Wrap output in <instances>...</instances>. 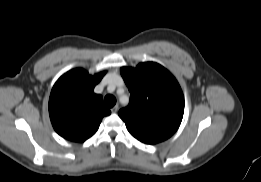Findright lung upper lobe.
<instances>
[{"label": "right lung upper lobe", "mask_w": 261, "mask_h": 182, "mask_svg": "<svg viewBox=\"0 0 261 182\" xmlns=\"http://www.w3.org/2000/svg\"><path fill=\"white\" fill-rule=\"evenodd\" d=\"M104 72L89 75L77 68L62 75L52 88L49 98V115L55 131L63 138L84 142L98 129L102 118L110 115L101 95L94 87Z\"/></svg>", "instance_id": "cb5924a9"}]
</instances>
